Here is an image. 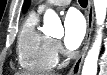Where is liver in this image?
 I'll return each mask as SVG.
<instances>
[{"mask_svg": "<svg viewBox=\"0 0 107 75\" xmlns=\"http://www.w3.org/2000/svg\"><path fill=\"white\" fill-rule=\"evenodd\" d=\"M15 75H27L25 72H22V73H16ZM51 75H54V74H51Z\"/></svg>", "mask_w": 107, "mask_h": 75, "instance_id": "1", "label": "liver"}]
</instances>
